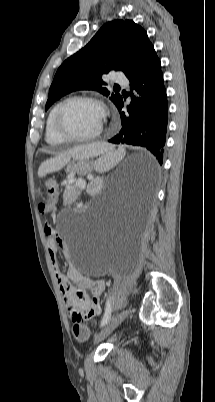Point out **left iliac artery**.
Instances as JSON below:
<instances>
[{"mask_svg": "<svg viewBox=\"0 0 215 402\" xmlns=\"http://www.w3.org/2000/svg\"><path fill=\"white\" fill-rule=\"evenodd\" d=\"M111 311H112V304H111V297H109L106 301L105 312L100 325L101 327L105 326L109 322L111 317Z\"/></svg>", "mask_w": 215, "mask_h": 402, "instance_id": "obj_1", "label": "left iliac artery"}]
</instances>
